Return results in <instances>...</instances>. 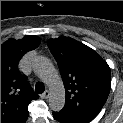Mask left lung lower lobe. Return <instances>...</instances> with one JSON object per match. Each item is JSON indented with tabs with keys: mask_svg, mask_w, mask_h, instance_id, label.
<instances>
[{
	"mask_svg": "<svg viewBox=\"0 0 123 123\" xmlns=\"http://www.w3.org/2000/svg\"><path fill=\"white\" fill-rule=\"evenodd\" d=\"M53 117L58 121V122H61V123H75L74 121L70 120L69 118L63 116L62 114L60 113H55L53 112Z\"/></svg>",
	"mask_w": 123,
	"mask_h": 123,
	"instance_id": "left-lung-lower-lobe-1",
	"label": "left lung lower lobe"
}]
</instances>
